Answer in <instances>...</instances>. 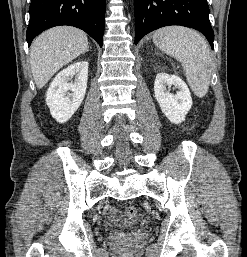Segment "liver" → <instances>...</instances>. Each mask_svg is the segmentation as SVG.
Returning <instances> with one entry per match:
<instances>
[{"mask_svg":"<svg viewBox=\"0 0 247 257\" xmlns=\"http://www.w3.org/2000/svg\"><path fill=\"white\" fill-rule=\"evenodd\" d=\"M88 50L86 34L75 27L59 26L41 33L32 43L30 64L41 89L64 65Z\"/></svg>","mask_w":247,"mask_h":257,"instance_id":"obj_1","label":"liver"}]
</instances>
